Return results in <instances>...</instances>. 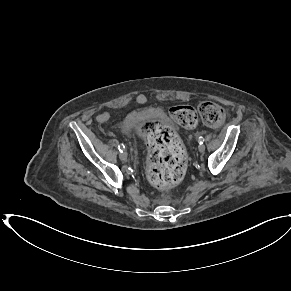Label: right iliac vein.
<instances>
[{
	"label": "right iliac vein",
	"mask_w": 291,
	"mask_h": 291,
	"mask_svg": "<svg viewBox=\"0 0 291 291\" xmlns=\"http://www.w3.org/2000/svg\"><path fill=\"white\" fill-rule=\"evenodd\" d=\"M119 157L122 161H126L128 158V155H127L126 151H123L119 154Z\"/></svg>",
	"instance_id": "63e3f726"
}]
</instances>
